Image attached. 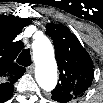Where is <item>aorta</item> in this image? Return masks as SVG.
<instances>
[{
  "mask_svg": "<svg viewBox=\"0 0 103 103\" xmlns=\"http://www.w3.org/2000/svg\"><path fill=\"white\" fill-rule=\"evenodd\" d=\"M32 48L36 81L42 89L51 91L58 80L53 46L47 37L41 36L33 42Z\"/></svg>",
  "mask_w": 103,
  "mask_h": 103,
  "instance_id": "aorta-1",
  "label": "aorta"
}]
</instances>
